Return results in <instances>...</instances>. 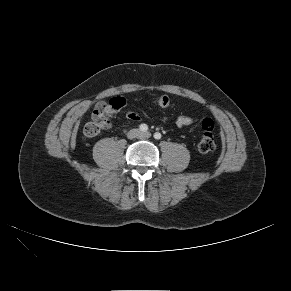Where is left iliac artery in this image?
<instances>
[{"instance_id":"44dca946","label":"left iliac artery","mask_w":291,"mask_h":291,"mask_svg":"<svg viewBox=\"0 0 291 291\" xmlns=\"http://www.w3.org/2000/svg\"><path fill=\"white\" fill-rule=\"evenodd\" d=\"M161 137H162V135H161V133H159V132H156V133L154 134V138H155L156 140L161 139Z\"/></svg>"}]
</instances>
